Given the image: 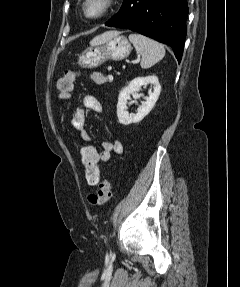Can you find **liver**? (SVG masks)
Returning <instances> with one entry per match:
<instances>
[{
    "instance_id": "1",
    "label": "liver",
    "mask_w": 240,
    "mask_h": 287,
    "mask_svg": "<svg viewBox=\"0 0 240 287\" xmlns=\"http://www.w3.org/2000/svg\"><path fill=\"white\" fill-rule=\"evenodd\" d=\"M108 32H106V33H104V34H102V35H99V36H97V37H95L94 39H93V41H95V40H97V39H100L101 37H103L104 35H106Z\"/></svg>"
}]
</instances>
